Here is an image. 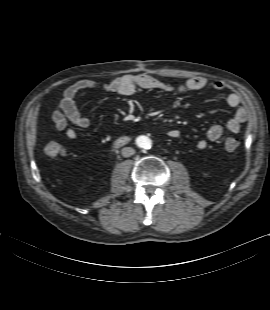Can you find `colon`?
<instances>
[{"mask_svg": "<svg viewBox=\"0 0 270 310\" xmlns=\"http://www.w3.org/2000/svg\"><path fill=\"white\" fill-rule=\"evenodd\" d=\"M239 140L236 137H227L224 141L225 150L232 152L239 147ZM45 153L50 158H59L64 154V147L57 141H50L45 146Z\"/></svg>", "mask_w": 270, "mask_h": 310, "instance_id": "colon-1", "label": "colon"}]
</instances>
